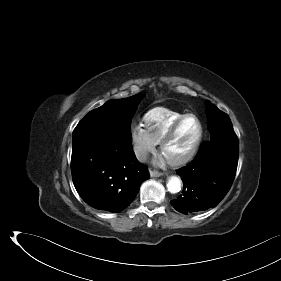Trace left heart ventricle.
Here are the masks:
<instances>
[{"label":"left heart ventricle","instance_id":"b2bd125f","mask_svg":"<svg viewBox=\"0 0 281 281\" xmlns=\"http://www.w3.org/2000/svg\"><path fill=\"white\" fill-rule=\"evenodd\" d=\"M198 133V121L194 117L187 118L180 126L174 138L165 147L163 155L167 159L180 156L193 145Z\"/></svg>","mask_w":281,"mask_h":281}]
</instances>
